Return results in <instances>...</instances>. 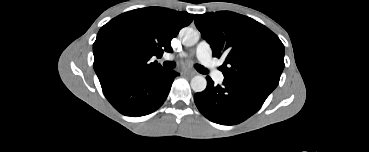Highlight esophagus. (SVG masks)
Listing matches in <instances>:
<instances>
[{
  "mask_svg": "<svg viewBox=\"0 0 369 152\" xmlns=\"http://www.w3.org/2000/svg\"><path fill=\"white\" fill-rule=\"evenodd\" d=\"M197 74V72H195V71H193V70H185L184 72H183V75L184 76H188V77H192V76H194V75H196Z\"/></svg>",
  "mask_w": 369,
  "mask_h": 152,
  "instance_id": "34e87169",
  "label": "esophagus"
}]
</instances>
